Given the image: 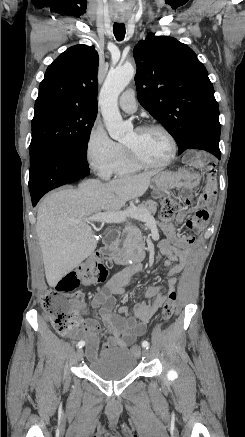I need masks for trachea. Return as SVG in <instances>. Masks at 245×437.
<instances>
[{"label": "trachea", "mask_w": 245, "mask_h": 437, "mask_svg": "<svg viewBox=\"0 0 245 437\" xmlns=\"http://www.w3.org/2000/svg\"><path fill=\"white\" fill-rule=\"evenodd\" d=\"M113 32L118 41H122L125 36V25L123 23H114Z\"/></svg>", "instance_id": "trachea-1"}]
</instances>
